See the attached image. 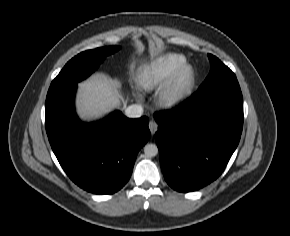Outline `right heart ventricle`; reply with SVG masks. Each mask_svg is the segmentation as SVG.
<instances>
[{
    "instance_id": "right-heart-ventricle-1",
    "label": "right heart ventricle",
    "mask_w": 290,
    "mask_h": 236,
    "mask_svg": "<svg viewBox=\"0 0 290 236\" xmlns=\"http://www.w3.org/2000/svg\"><path fill=\"white\" fill-rule=\"evenodd\" d=\"M186 62L181 54L170 53L145 65L138 77V84L145 90H153L165 84Z\"/></svg>"
}]
</instances>
